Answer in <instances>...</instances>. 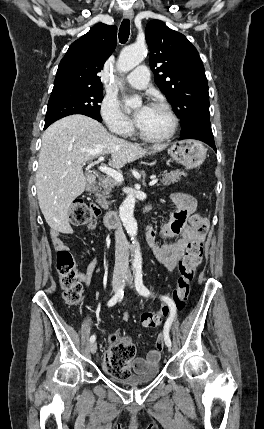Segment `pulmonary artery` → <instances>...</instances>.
<instances>
[{
	"instance_id": "obj_1",
	"label": "pulmonary artery",
	"mask_w": 264,
	"mask_h": 429,
	"mask_svg": "<svg viewBox=\"0 0 264 429\" xmlns=\"http://www.w3.org/2000/svg\"><path fill=\"white\" fill-rule=\"evenodd\" d=\"M149 76L147 66L140 65L125 77V81L134 88L144 89L149 83Z\"/></svg>"
}]
</instances>
